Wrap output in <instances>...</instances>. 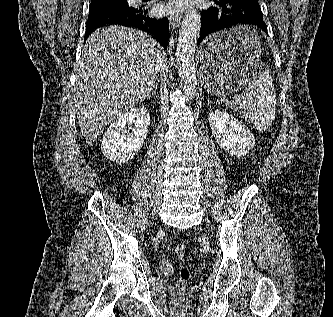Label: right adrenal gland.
Masks as SVG:
<instances>
[{
  "label": "right adrenal gland",
  "instance_id": "2a0ac1e0",
  "mask_svg": "<svg viewBox=\"0 0 333 317\" xmlns=\"http://www.w3.org/2000/svg\"><path fill=\"white\" fill-rule=\"evenodd\" d=\"M156 90H157V85H154L151 93L147 95V98H151L152 96H155L157 98Z\"/></svg>",
  "mask_w": 333,
  "mask_h": 317
}]
</instances>
